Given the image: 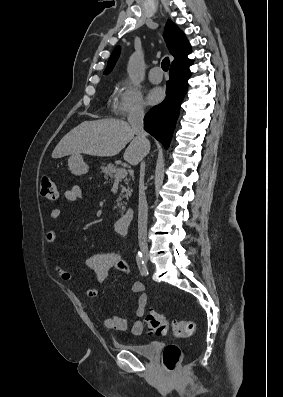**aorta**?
<instances>
[{
    "label": "aorta",
    "instance_id": "762f6f07",
    "mask_svg": "<svg viewBox=\"0 0 283 397\" xmlns=\"http://www.w3.org/2000/svg\"><path fill=\"white\" fill-rule=\"evenodd\" d=\"M127 73L129 78L136 84L144 79V60L141 54L134 53L128 62Z\"/></svg>",
    "mask_w": 283,
    "mask_h": 397
}]
</instances>
